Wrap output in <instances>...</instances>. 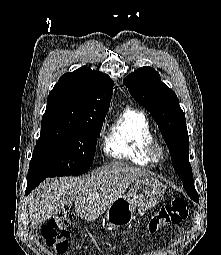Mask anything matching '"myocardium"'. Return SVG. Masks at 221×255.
<instances>
[{
    "mask_svg": "<svg viewBox=\"0 0 221 255\" xmlns=\"http://www.w3.org/2000/svg\"><path fill=\"white\" fill-rule=\"evenodd\" d=\"M147 153L150 159L156 163L161 162L166 156L163 145L156 139L151 140L147 145Z\"/></svg>",
    "mask_w": 221,
    "mask_h": 255,
    "instance_id": "f54148a6",
    "label": "myocardium"
}]
</instances>
